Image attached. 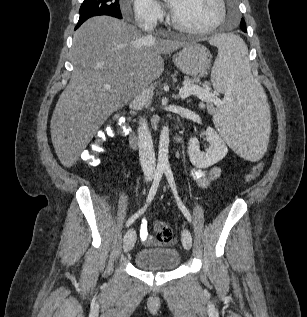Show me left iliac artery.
Returning a JSON list of instances; mask_svg holds the SVG:
<instances>
[{
	"mask_svg": "<svg viewBox=\"0 0 307 317\" xmlns=\"http://www.w3.org/2000/svg\"><path fill=\"white\" fill-rule=\"evenodd\" d=\"M164 173H165L166 178H167V180L169 182V185H170V187L172 189V192H173V194L175 196V199H176L178 207L180 208V210L182 211L184 216L187 218V220L189 222H191V215H190L188 209L185 207V205L181 202V200L179 198L177 187H176V183H175V180H174V176H173V172L171 170V167L168 166V165L165 166L164 167Z\"/></svg>",
	"mask_w": 307,
	"mask_h": 317,
	"instance_id": "left-iliac-artery-1",
	"label": "left iliac artery"
}]
</instances>
